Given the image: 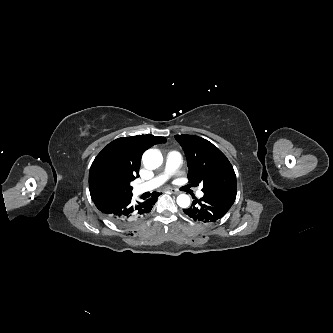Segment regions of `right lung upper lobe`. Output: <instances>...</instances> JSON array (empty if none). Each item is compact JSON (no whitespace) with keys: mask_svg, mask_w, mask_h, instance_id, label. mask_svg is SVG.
<instances>
[{"mask_svg":"<svg viewBox=\"0 0 333 333\" xmlns=\"http://www.w3.org/2000/svg\"><path fill=\"white\" fill-rule=\"evenodd\" d=\"M165 142V137H156L149 134L118 138L109 143L96 156L91 165L89 172L90 193L100 189L96 181V173L101 166L114 165L136 177L143 152L153 145Z\"/></svg>","mask_w":333,"mask_h":333,"instance_id":"obj_1","label":"right lung upper lobe"}]
</instances>
